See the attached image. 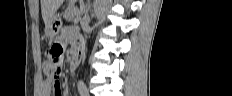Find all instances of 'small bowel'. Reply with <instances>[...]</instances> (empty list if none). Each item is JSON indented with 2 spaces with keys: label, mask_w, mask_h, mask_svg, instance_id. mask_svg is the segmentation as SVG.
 <instances>
[{
  "label": "small bowel",
  "mask_w": 232,
  "mask_h": 96,
  "mask_svg": "<svg viewBox=\"0 0 232 96\" xmlns=\"http://www.w3.org/2000/svg\"><path fill=\"white\" fill-rule=\"evenodd\" d=\"M81 30H76L74 28H65L62 32V35L58 36L54 44H59L62 47H65L67 43H70L73 46H77L79 43H83V38H78V35H81ZM44 70L49 71L50 67L48 63L43 65ZM56 87L55 93H53V88ZM61 83L53 76L47 77L43 80L41 84L40 95L41 96H64V93L60 91Z\"/></svg>",
  "instance_id": "c3829d8e"
}]
</instances>
